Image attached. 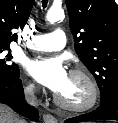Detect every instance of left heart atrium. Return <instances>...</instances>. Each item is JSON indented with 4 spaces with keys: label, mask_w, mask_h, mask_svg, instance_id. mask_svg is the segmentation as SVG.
Listing matches in <instances>:
<instances>
[{
    "label": "left heart atrium",
    "mask_w": 118,
    "mask_h": 123,
    "mask_svg": "<svg viewBox=\"0 0 118 123\" xmlns=\"http://www.w3.org/2000/svg\"><path fill=\"white\" fill-rule=\"evenodd\" d=\"M26 68L34 80L56 94L68 82L69 75L60 57L37 58L29 61Z\"/></svg>",
    "instance_id": "obj_1"
}]
</instances>
